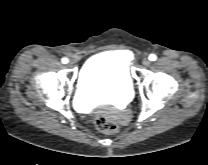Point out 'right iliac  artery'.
Returning <instances> with one entry per match:
<instances>
[{"mask_svg":"<svg viewBox=\"0 0 208 165\" xmlns=\"http://www.w3.org/2000/svg\"><path fill=\"white\" fill-rule=\"evenodd\" d=\"M62 63H64V64L68 63V59L67 58H63L62 59Z\"/></svg>","mask_w":208,"mask_h":165,"instance_id":"1","label":"right iliac artery"}]
</instances>
